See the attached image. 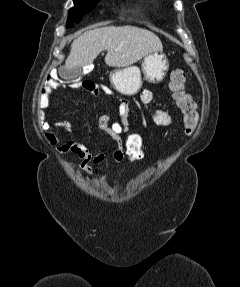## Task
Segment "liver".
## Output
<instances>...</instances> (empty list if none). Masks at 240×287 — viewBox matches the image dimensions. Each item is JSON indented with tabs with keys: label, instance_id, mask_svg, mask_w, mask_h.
<instances>
[{
	"label": "liver",
	"instance_id": "1",
	"mask_svg": "<svg viewBox=\"0 0 240 287\" xmlns=\"http://www.w3.org/2000/svg\"><path fill=\"white\" fill-rule=\"evenodd\" d=\"M161 40L153 32L135 26H108L84 32L71 44L65 69L84 67L107 50L105 63L128 67L154 51H162Z\"/></svg>",
	"mask_w": 240,
	"mask_h": 287
}]
</instances>
